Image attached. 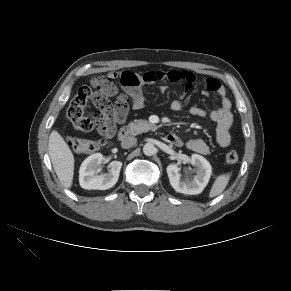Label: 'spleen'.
<instances>
[{
  "label": "spleen",
  "instance_id": "1",
  "mask_svg": "<svg viewBox=\"0 0 291 291\" xmlns=\"http://www.w3.org/2000/svg\"><path fill=\"white\" fill-rule=\"evenodd\" d=\"M229 180H230V174L219 175L215 179V181L211 187V190L209 192V197L213 198L215 196L220 195L224 191L226 186L228 185Z\"/></svg>",
  "mask_w": 291,
  "mask_h": 291
}]
</instances>
